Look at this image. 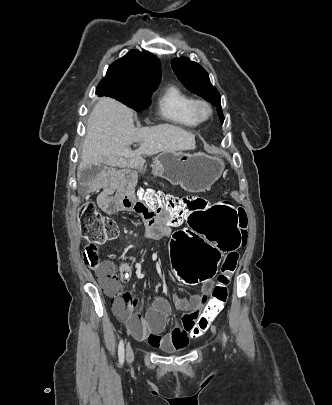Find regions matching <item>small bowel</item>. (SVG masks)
<instances>
[{
    "instance_id": "small-bowel-1",
    "label": "small bowel",
    "mask_w": 332,
    "mask_h": 405,
    "mask_svg": "<svg viewBox=\"0 0 332 405\" xmlns=\"http://www.w3.org/2000/svg\"><path fill=\"white\" fill-rule=\"evenodd\" d=\"M140 162L142 166L143 160L140 159ZM137 179L138 172L129 171V168H112L110 162H89L88 168H83L82 172L78 173V177H75V186H101L107 182V186L97 199L98 211H103L104 215H129L130 212L137 214L144 221V235L148 240L155 241L168 237L173 227L180 223V220L168 223L164 221L171 220L172 217L169 214H163L159 220H154L150 217L152 212H141L142 203L133 186V180ZM236 252L237 249L234 254H237ZM113 268L109 261L103 262L97 267L96 275L102 285L104 282L103 274L112 271ZM120 272L121 279L127 281L131 275V267L127 263H121ZM212 290L213 281L211 280L207 281L198 293L188 299L176 295L174 303L177 308L185 311V313L182 317L181 326L166 335H162V332L171 312V306L164 298H157L145 316L140 314L122 316L115 311L118 316L125 320L130 333L137 340L147 342L152 347L160 348L163 351L183 349L193 339L190 337V330L196 329L198 317ZM203 332L205 331H201V333Z\"/></svg>"
}]
</instances>
